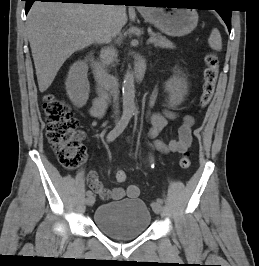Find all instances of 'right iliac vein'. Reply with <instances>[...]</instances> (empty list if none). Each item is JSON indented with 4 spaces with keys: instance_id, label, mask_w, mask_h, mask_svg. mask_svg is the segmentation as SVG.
Masks as SVG:
<instances>
[{
    "instance_id": "obj_1",
    "label": "right iliac vein",
    "mask_w": 259,
    "mask_h": 266,
    "mask_svg": "<svg viewBox=\"0 0 259 266\" xmlns=\"http://www.w3.org/2000/svg\"><path fill=\"white\" fill-rule=\"evenodd\" d=\"M94 202H95V197H94L93 195L88 196V197L86 198V204H87L88 206H92V205L94 204Z\"/></svg>"
}]
</instances>
